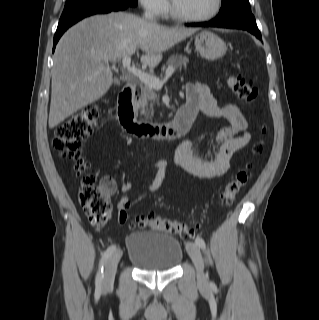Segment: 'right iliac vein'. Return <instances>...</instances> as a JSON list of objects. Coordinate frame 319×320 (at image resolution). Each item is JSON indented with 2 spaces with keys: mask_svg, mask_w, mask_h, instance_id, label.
Segmentation results:
<instances>
[{
  "mask_svg": "<svg viewBox=\"0 0 319 320\" xmlns=\"http://www.w3.org/2000/svg\"><path fill=\"white\" fill-rule=\"evenodd\" d=\"M122 251L116 250L108 259L105 266V277L103 285L105 288H109L113 285L115 279V273L117 269V265L121 259Z\"/></svg>",
  "mask_w": 319,
  "mask_h": 320,
  "instance_id": "right-iliac-vein-1",
  "label": "right iliac vein"
}]
</instances>
